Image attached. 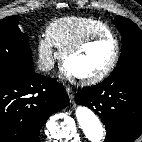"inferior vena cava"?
Listing matches in <instances>:
<instances>
[{"mask_svg":"<svg viewBox=\"0 0 142 142\" xmlns=\"http://www.w3.org/2000/svg\"><path fill=\"white\" fill-rule=\"evenodd\" d=\"M54 67V61L52 59L43 60L38 62V68L41 71H49Z\"/></svg>","mask_w":142,"mask_h":142,"instance_id":"602c4592","label":"inferior vena cava"}]
</instances>
